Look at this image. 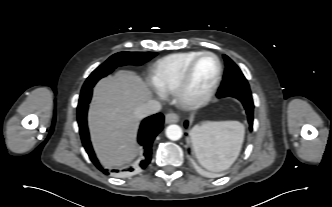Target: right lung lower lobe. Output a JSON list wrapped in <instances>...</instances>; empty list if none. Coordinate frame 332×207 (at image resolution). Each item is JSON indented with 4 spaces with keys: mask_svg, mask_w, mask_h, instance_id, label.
<instances>
[{
    "mask_svg": "<svg viewBox=\"0 0 332 207\" xmlns=\"http://www.w3.org/2000/svg\"><path fill=\"white\" fill-rule=\"evenodd\" d=\"M92 89H88L81 92L78 107H77V120L79 124V131L81 135V140L86 152L89 155L90 160L93 164L104 174H119V175H128L132 173L137 168L145 169L151 161L152 158V143L156 137V135L162 130L164 116L161 113L152 115L150 117L145 118L140 126L138 133V142L143 147V158L139 162V164L135 167H129L124 170H108L105 169L97 159L89 137V132L87 128V110L88 104L91 100Z\"/></svg>",
    "mask_w": 332,
    "mask_h": 207,
    "instance_id": "1",
    "label": "right lung lower lobe"
}]
</instances>
